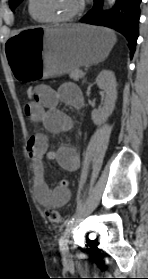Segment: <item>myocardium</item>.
Instances as JSON below:
<instances>
[{
  "instance_id": "f54148a6",
  "label": "myocardium",
  "mask_w": 148,
  "mask_h": 279,
  "mask_svg": "<svg viewBox=\"0 0 148 279\" xmlns=\"http://www.w3.org/2000/svg\"><path fill=\"white\" fill-rule=\"evenodd\" d=\"M33 2L34 0H29V4H28L29 13L35 20L41 23L60 24V23L70 22L77 19L85 9V0H78L77 7L67 15L62 17L42 18L37 16L36 13L34 12Z\"/></svg>"
}]
</instances>
